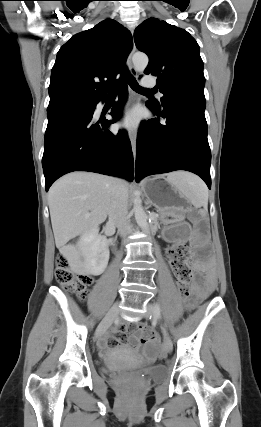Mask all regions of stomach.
Listing matches in <instances>:
<instances>
[{
    "instance_id": "0dacf381",
    "label": "stomach",
    "mask_w": 261,
    "mask_h": 427,
    "mask_svg": "<svg viewBox=\"0 0 261 427\" xmlns=\"http://www.w3.org/2000/svg\"><path fill=\"white\" fill-rule=\"evenodd\" d=\"M142 187L165 221H181L190 210V201L169 177L149 178Z\"/></svg>"
}]
</instances>
